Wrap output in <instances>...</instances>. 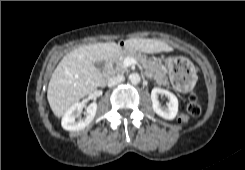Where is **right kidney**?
<instances>
[{
  "label": "right kidney",
  "mask_w": 245,
  "mask_h": 170,
  "mask_svg": "<svg viewBox=\"0 0 245 170\" xmlns=\"http://www.w3.org/2000/svg\"><path fill=\"white\" fill-rule=\"evenodd\" d=\"M83 109L80 102L73 104L62 117V127L68 131H78L88 126L94 119L97 111V104L91 103L85 111V117L81 118L79 115Z\"/></svg>",
  "instance_id": "ca27d5eb"
}]
</instances>
